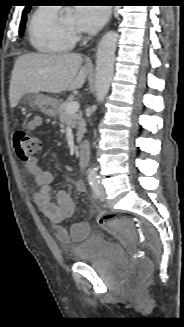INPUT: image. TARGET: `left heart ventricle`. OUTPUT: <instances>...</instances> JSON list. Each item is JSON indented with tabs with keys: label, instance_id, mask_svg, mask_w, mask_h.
Wrapping results in <instances>:
<instances>
[{
	"label": "left heart ventricle",
	"instance_id": "b2bd125f",
	"mask_svg": "<svg viewBox=\"0 0 184 327\" xmlns=\"http://www.w3.org/2000/svg\"><path fill=\"white\" fill-rule=\"evenodd\" d=\"M61 23L67 28L75 29L77 27V21H76L75 15L72 13L64 16L62 18Z\"/></svg>",
	"mask_w": 184,
	"mask_h": 327
}]
</instances>
